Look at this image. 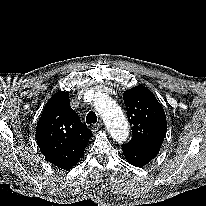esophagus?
Returning <instances> with one entry per match:
<instances>
[{"label": "esophagus", "instance_id": "34e87169", "mask_svg": "<svg viewBox=\"0 0 206 206\" xmlns=\"http://www.w3.org/2000/svg\"><path fill=\"white\" fill-rule=\"evenodd\" d=\"M102 126H103V123H101V122L96 123V124H93V125L91 126V130H92L93 132H96V131H98L99 129H101Z\"/></svg>", "mask_w": 206, "mask_h": 206}]
</instances>
